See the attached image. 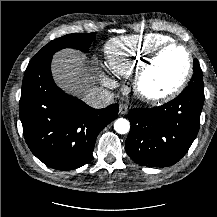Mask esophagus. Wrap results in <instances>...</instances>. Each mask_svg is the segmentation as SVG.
I'll list each match as a JSON object with an SVG mask.
<instances>
[{"mask_svg": "<svg viewBox=\"0 0 217 217\" xmlns=\"http://www.w3.org/2000/svg\"><path fill=\"white\" fill-rule=\"evenodd\" d=\"M119 113L121 115H126L128 113V106L126 104H120L119 106Z\"/></svg>", "mask_w": 217, "mask_h": 217, "instance_id": "1", "label": "esophagus"}]
</instances>
